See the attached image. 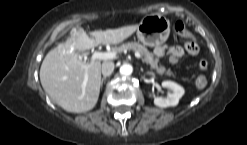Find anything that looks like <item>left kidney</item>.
Returning a JSON list of instances; mask_svg holds the SVG:
<instances>
[{"mask_svg": "<svg viewBox=\"0 0 247 145\" xmlns=\"http://www.w3.org/2000/svg\"><path fill=\"white\" fill-rule=\"evenodd\" d=\"M162 86L168 88L171 92L167 94L166 98L153 96L154 104L162 108L176 106L184 94L183 87L173 81H163Z\"/></svg>", "mask_w": 247, "mask_h": 145, "instance_id": "5707ae66", "label": "left kidney"}]
</instances>
